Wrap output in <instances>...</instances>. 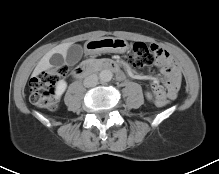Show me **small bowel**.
<instances>
[{"label": "small bowel", "instance_id": "1", "mask_svg": "<svg viewBox=\"0 0 219 174\" xmlns=\"http://www.w3.org/2000/svg\"><path fill=\"white\" fill-rule=\"evenodd\" d=\"M152 49L156 53V66L161 69V72L166 76L165 84L166 87L162 86L160 83H153L151 85V92L159 98H169V99H175L178 93L181 75L178 67L176 66L173 57L171 54L157 46V45H151ZM126 70L131 74L134 75L132 70L129 67H126ZM123 74H119V78H122Z\"/></svg>", "mask_w": 219, "mask_h": 174}]
</instances>
